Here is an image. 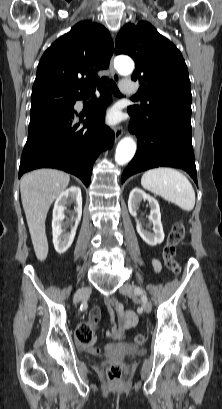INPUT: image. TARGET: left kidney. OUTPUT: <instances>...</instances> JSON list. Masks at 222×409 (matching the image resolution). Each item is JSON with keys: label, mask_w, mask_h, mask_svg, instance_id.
Instances as JSON below:
<instances>
[{"label": "left kidney", "mask_w": 222, "mask_h": 409, "mask_svg": "<svg viewBox=\"0 0 222 409\" xmlns=\"http://www.w3.org/2000/svg\"><path fill=\"white\" fill-rule=\"evenodd\" d=\"M142 200L149 202L151 211L148 220L150 225H153V232L143 229L141 222L136 218L137 210ZM128 209L130 214L136 218V229L140 237L151 246L161 244L164 240V232L161 223L160 207L157 200L140 188H134L129 194Z\"/></svg>", "instance_id": "1"}]
</instances>
